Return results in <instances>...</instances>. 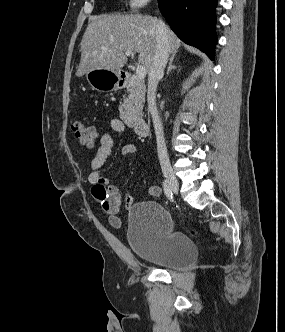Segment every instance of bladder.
Returning <instances> with one entry per match:
<instances>
[{"label": "bladder", "instance_id": "1", "mask_svg": "<svg viewBox=\"0 0 285 332\" xmlns=\"http://www.w3.org/2000/svg\"><path fill=\"white\" fill-rule=\"evenodd\" d=\"M127 242L140 260L170 270H183L198 258L193 240L176 231L166 209L154 201L134 204L128 214Z\"/></svg>", "mask_w": 285, "mask_h": 332}]
</instances>
